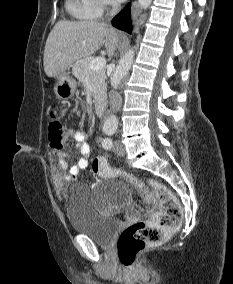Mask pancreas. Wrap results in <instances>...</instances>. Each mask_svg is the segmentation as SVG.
I'll list each match as a JSON object with an SVG mask.
<instances>
[{
	"label": "pancreas",
	"mask_w": 233,
	"mask_h": 284,
	"mask_svg": "<svg viewBox=\"0 0 233 284\" xmlns=\"http://www.w3.org/2000/svg\"><path fill=\"white\" fill-rule=\"evenodd\" d=\"M94 58L88 57L77 61L73 65V73L80 82L85 84L88 82L91 85V93L96 105L106 103V84H105V70H92L90 69V62Z\"/></svg>",
	"instance_id": "obj_1"
}]
</instances>
